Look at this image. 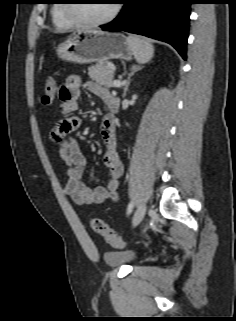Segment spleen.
Masks as SVG:
<instances>
[{
  "instance_id": "spleen-1",
  "label": "spleen",
  "mask_w": 236,
  "mask_h": 321,
  "mask_svg": "<svg viewBox=\"0 0 236 321\" xmlns=\"http://www.w3.org/2000/svg\"><path fill=\"white\" fill-rule=\"evenodd\" d=\"M127 40L132 46L133 55L138 63H146L153 57L154 48L151 43L135 36H129Z\"/></svg>"
}]
</instances>
